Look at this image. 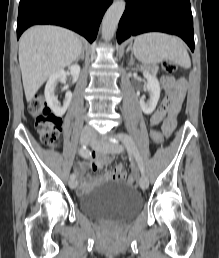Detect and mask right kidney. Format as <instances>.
Returning a JSON list of instances; mask_svg holds the SVG:
<instances>
[{
	"mask_svg": "<svg viewBox=\"0 0 219 258\" xmlns=\"http://www.w3.org/2000/svg\"><path fill=\"white\" fill-rule=\"evenodd\" d=\"M69 70L73 77V82H76L80 74V66L77 64L71 65L69 66ZM65 80L66 73L64 70H60L49 77L45 86V100L53 113L58 117H62L65 114L72 99V93L70 91L66 92L65 100L63 105H61L58 103L57 97L55 96L54 91L57 83L65 82Z\"/></svg>",
	"mask_w": 219,
	"mask_h": 258,
	"instance_id": "obj_1",
	"label": "right kidney"
}]
</instances>
